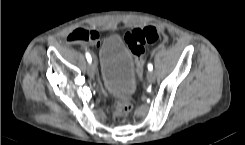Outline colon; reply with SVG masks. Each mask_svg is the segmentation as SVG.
<instances>
[{
	"label": "colon",
	"mask_w": 245,
	"mask_h": 145,
	"mask_svg": "<svg viewBox=\"0 0 245 145\" xmlns=\"http://www.w3.org/2000/svg\"><path fill=\"white\" fill-rule=\"evenodd\" d=\"M98 37L94 30L78 27L73 29L66 36L70 43L90 44ZM165 34L154 26L134 28L125 35V41L131 50L135 61V71L138 78L144 72V44L154 43L158 40H165ZM132 109V103L127 99H118L114 105V115L118 118L127 116Z\"/></svg>",
	"instance_id": "1"
}]
</instances>
